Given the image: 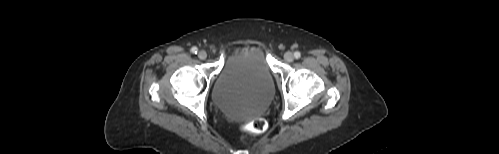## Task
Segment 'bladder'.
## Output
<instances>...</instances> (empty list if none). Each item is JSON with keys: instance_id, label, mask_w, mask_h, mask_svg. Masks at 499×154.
I'll use <instances>...</instances> for the list:
<instances>
[{"instance_id": "bladder-1", "label": "bladder", "mask_w": 499, "mask_h": 154, "mask_svg": "<svg viewBox=\"0 0 499 154\" xmlns=\"http://www.w3.org/2000/svg\"><path fill=\"white\" fill-rule=\"evenodd\" d=\"M275 93V80L261 45H242L225 60L213 86L215 104L235 117L262 113Z\"/></svg>"}]
</instances>
